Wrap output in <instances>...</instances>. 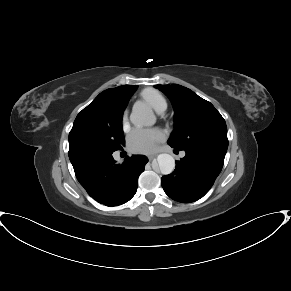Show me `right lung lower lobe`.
<instances>
[{"instance_id":"98d812e1","label":"right lung lower lobe","mask_w":291,"mask_h":291,"mask_svg":"<svg viewBox=\"0 0 291 291\" xmlns=\"http://www.w3.org/2000/svg\"><path fill=\"white\" fill-rule=\"evenodd\" d=\"M113 152L95 149L69 150V158L79 183L97 202L118 206L136 193L138 177L144 171L147 157L133 155L116 164Z\"/></svg>"}]
</instances>
